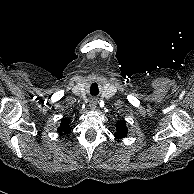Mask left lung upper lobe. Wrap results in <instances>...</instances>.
I'll list each match as a JSON object with an SVG mask.
<instances>
[{
    "mask_svg": "<svg viewBox=\"0 0 194 194\" xmlns=\"http://www.w3.org/2000/svg\"><path fill=\"white\" fill-rule=\"evenodd\" d=\"M116 133L114 136L119 139V138H124L127 135V128H126V123L124 120H121L117 123L116 125Z\"/></svg>",
    "mask_w": 194,
    "mask_h": 194,
    "instance_id": "5c2ea615",
    "label": "left lung upper lobe"
}]
</instances>
